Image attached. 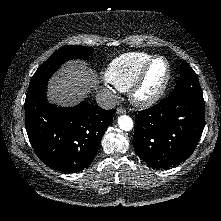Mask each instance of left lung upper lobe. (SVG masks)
<instances>
[{
  "label": "left lung upper lobe",
  "instance_id": "obj_1",
  "mask_svg": "<svg viewBox=\"0 0 221 221\" xmlns=\"http://www.w3.org/2000/svg\"><path fill=\"white\" fill-rule=\"evenodd\" d=\"M170 95H188L195 98H203L199 80L192 68L185 61L181 64L180 77Z\"/></svg>",
  "mask_w": 221,
  "mask_h": 221
}]
</instances>
